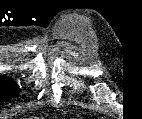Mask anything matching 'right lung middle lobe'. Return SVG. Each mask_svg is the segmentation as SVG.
I'll list each match as a JSON object with an SVG mask.
<instances>
[{
  "instance_id": "dd1d6c3e",
  "label": "right lung middle lobe",
  "mask_w": 142,
  "mask_h": 119,
  "mask_svg": "<svg viewBox=\"0 0 142 119\" xmlns=\"http://www.w3.org/2000/svg\"><path fill=\"white\" fill-rule=\"evenodd\" d=\"M18 92L16 84L11 78L0 76V101L5 100L10 95L17 94Z\"/></svg>"
}]
</instances>
